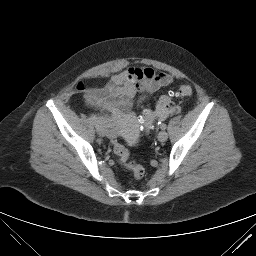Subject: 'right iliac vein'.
Returning a JSON list of instances; mask_svg holds the SVG:
<instances>
[{
	"instance_id": "63e3f726",
	"label": "right iliac vein",
	"mask_w": 256,
	"mask_h": 256,
	"mask_svg": "<svg viewBox=\"0 0 256 256\" xmlns=\"http://www.w3.org/2000/svg\"><path fill=\"white\" fill-rule=\"evenodd\" d=\"M96 130H97V132H98V134L100 135V136H104V130H103V128L100 126H98L97 128H96Z\"/></svg>"
}]
</instances>
